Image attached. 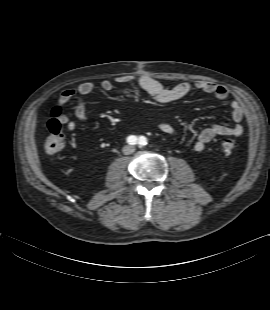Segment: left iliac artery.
Masks as SVG:
<instances>
[{
	"label": "left iliac artery",
	"instance_id": "44dca946",
	"mask_svg": "<svg viewBox=\"0 0 270 310\" xmlns=\"http://www.w3.org/2000/svg\"><path fill=\"white\" fill-rule=\"evenodd\" d=\"M140 145H145L146 144V138L144 136H141L139 138V142H138Z\"/></svg>",
	"mask_w": 270,
	"mask_h": 310
}]
</instances>
